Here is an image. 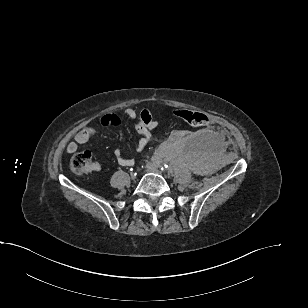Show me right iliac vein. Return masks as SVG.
I'll use <instances>...</instances> for the list:
<instances>
[{
    "instance_id": "63e3f726",
    "label": "right iliac vein",
    "mask_w": 308,
    "mask_h": 308,
    "mask_svg": "<svg viewBox=\"0 0 308 308\" xmlns=\"http://www.w3.org/2000/svg\"><path fill=\"white\" fill-rule=\"evenodd\" d=\"M130 176H131L132 179H135V177H136L134 173H131Z\"/></svg>"
}]
</instances>
